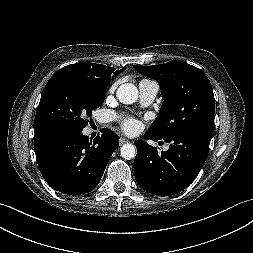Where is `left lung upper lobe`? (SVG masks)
Masks as SVG:
<instances>
[{
    "instance_id": "1",
    "label": "left lung upper lobe",
    "mask_w": 253,
    "mask_h": 253,
    "mask_svg": "<svg viewBox=\"0 0 253 253\" xmlns=\"http://www.w3.org/2000/svg\"><path fill=\"white\" fill-rule=\"evenodd\" d=\"M134 68L155 79L165 98L147 132L165 139L192 130L214 131L215 99L202 70L182 61Z\"/></svg>"
}]
</instances>
